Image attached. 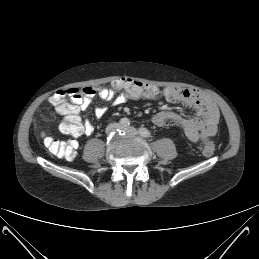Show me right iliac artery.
Wrapping results in <instances>:
<instances>
[{"label":"right iliac artery","instance_id":"1","mask_svg":"<svg viewBox=\"0 0 259 259\" xmlns=\"http://www.w3.org/2000/svg\"><path fill=\"white\" fill-rule=\"evenodd\" d=\"M120 124H121L122 126H124V127H127V126L130 125V121H129V119H127V118H122V119L120 120Z\"/></svg>","mask_w":259,"mask_h":259}]
</instances>
